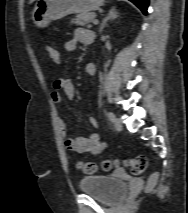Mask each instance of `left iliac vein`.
I'll return each instance as SVG.
<instances>
[{"label": "left iliac vein", "mask_w": 188, "mask_h": 213, "mask_svg": "<svg viewBox=\"0 0 188 213\" xmlns=\"http://www.w3.org/2000/svg\"><path fill=\"white\" fill-rule=\"evenodd\" d=\"M113 122H114V128L116 130H118V131L122 130L123 126H122L121 121L118 118H115Z\"/></svg>", "instance_id": "4c4485c4"}]
</instances>
